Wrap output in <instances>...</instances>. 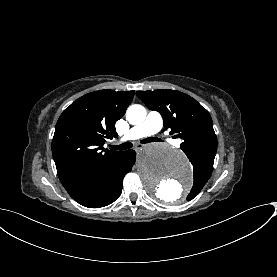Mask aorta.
Segmentation results:
<instances>
[{
	"label": "aorta",
	"instance_id": "1",
	"mask_svg": "<svg viewBox=\"0 0 277 277\" xmlns=\"http://www.w3.org/2000/svg\"><path fill=\"white\" fill-rule=\"evenodd\" d=\"M126 116L130 124L138 125L145 120L146 110L135 104ZM137 171L149 195L165 203L180 201L193 184L185 154L166 144L147 145L137 160Z\"/></svg>",
	"mask_w": 277,
	"mask_h": 277
}]
</instances>
